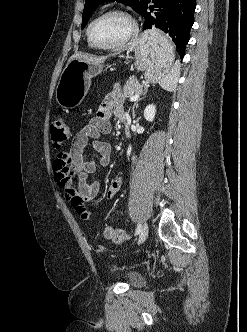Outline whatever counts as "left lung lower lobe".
Wrapping results in <instances>:
<instances>
[{"label":"left lung lower lobe","instance_id":"obj_1","mask_svg":"<svg viewBox=\"0 0 247 332\" xmlns=\"http://www.w3.org/2000/svg\"><path fill=\"white\" fill-rule=\"evenodd\" d=\"M149 2L145 0L140 13L146 19L144 29L156 27L168 33L183 57L194 22L195 0H155L152 6H148Z\"/></svg>","mask_w":247,"mask_h":332}]
</instances>
